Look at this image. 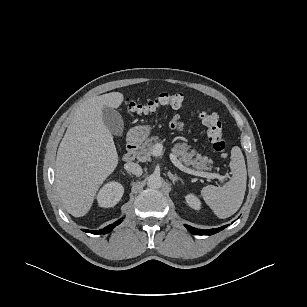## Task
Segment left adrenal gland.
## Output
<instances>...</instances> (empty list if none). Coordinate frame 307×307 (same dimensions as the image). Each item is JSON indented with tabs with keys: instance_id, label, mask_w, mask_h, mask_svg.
Instances as JSON below:
<instances>
[{
	"instance_id": "obj_1",
	"label": "left adrenal gland",
	"mask_w": 307,
	"mask_h": 307,
	"mask_svg": "<svg viewBox=\"0 0 307 307\" xmlns=\"http://www.w3.org/2000/svg\"><path fill=\"white\" fill-rule=\"evenodd\" d=\"M168 176L172 180L173 184H175V182L178 181V180L182 181V179L180 177H178L177 174L173 175L171 172H168Z\"/></svg>"
}]
</instances>
